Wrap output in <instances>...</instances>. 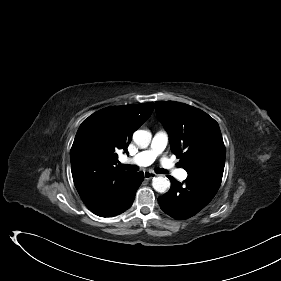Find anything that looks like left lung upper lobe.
<instances>
[{
	"mask_svg": "<svg viewBox=\"0 0 281 281\" xmlns=\"http://www.w3.org/2000/svg\"><path fill=\"white\" fill-rule=\"evenodd\" d=\"M159 120L169 133L172 152L189 176L204 178L218 186L225 165V146L218 123L190 105L174 101L155 102Z\"/></svg>",
	"mask_w": 281,
	"mask_h": 281,
	"instance_id": "1",
	"label": "left lung upper lobe"
}]
</instances>
